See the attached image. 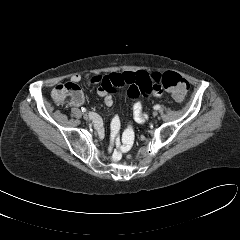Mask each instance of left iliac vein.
I'll return each mask as SVG.
<instances>
[{"mask_svg":"<svg viewBox=\"0 0 240 240\" xmlns=\"http://www.w3.org/2000/svg\"><path fill=\"white\" fill-rule=\"evenodd\" d=\"M158 115V112L157 111H154L153 112V116H157Z\"/></svg>","mask_w":240,"mask_h":240,"instance_id":"left-iliac-vein-1","label":"left iliac vein"}]
</instances>
